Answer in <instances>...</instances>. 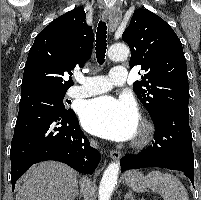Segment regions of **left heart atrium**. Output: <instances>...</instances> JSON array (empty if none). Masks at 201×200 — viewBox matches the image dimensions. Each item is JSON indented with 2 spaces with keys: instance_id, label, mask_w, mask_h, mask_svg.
<instances>
[{
  "instance_id": "left-heart-atrium-1",
  "label": "left heart atrium",
  "mask_w": 201,
  "mask_h": 200,
  "mask_svg": "<svg viewBox=\"0 0 201 200\" xmlns=\"http://www.w3.org/2000/svg\"><path fill=\"white\" fill-rule=\"evenodd\" d=\"M80 117L87 131L113 141L130 140L139 129V114L129 99L97 97L82 106Z\"/></svg>"
}]
</instances>
